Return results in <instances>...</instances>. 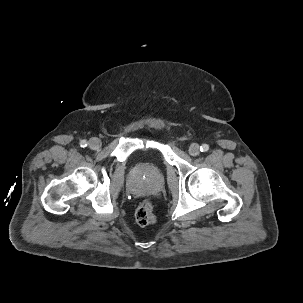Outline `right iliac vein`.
Wrapping results in <instances>:
<instances>
[{
  "mask_svg": "<svg viewBox=\"0 0 303 303\" xmlns=\"http://www.w3.org/2000/svg\"><path fill=\"white\" fill-rule=\"evenodd\" d=\"M89 147L92 149V150H98L100 147H101V141L100 139L94 137V138H91L89 140Z\"/></svg>",
  "mask_w": 303,
  "mask_h": 303,
  "instance_id": "1",
  "label": "right iliac vein"
}]
</instances>
